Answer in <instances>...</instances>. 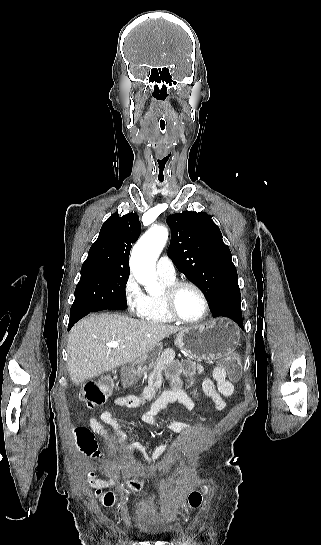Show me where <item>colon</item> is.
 Returning a JSON list of instances; mask_svg holds the SVG:
<instances>
[{
    "instance_id": "colon-1",
    "label": "colon",
    "mask_w": 321,
    "mask_h": 545,
    "mask_svg": "<svg viewBox=\"0 0 321 545\" xmlns=\"http://www.w3.org/2000/svg\"><path fill=\"white\" fill-rule=\"evenodd\" d=\"M223 368L228 372L232 379L239 377V359L236 355L230 354L222 360ZM110 394V385L106 380L88 381L84 384L80 397L90 408H95L105 402ZM76 433L80 440L83 442L87 450H94L95 443L90 431L85 427H78ZM134 488H139L137 482H131ZM99 495H102L103 502L106 506L113 505L115 501V495L112 492L102 493L97 491ZM202 502V492L193 491L188 497L189 506L192 508L198 507Z\"/></svg>"
}]
</instances>
